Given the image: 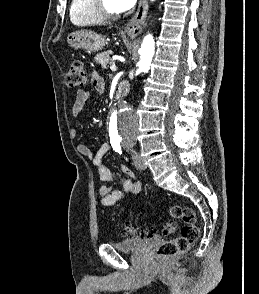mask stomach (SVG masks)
<instances>
[{
	"label": "stomach",
	"mask_w": 259,
	"mask_h": 294,
	"mask_svg": "<svg viewBox=\"0 0 259 294\" xmlns=\"http://www.w3.org/2000/svg\"><path fill=\"white\" fill-rule=\"evenodd\" d=\"M134 38V35H129ZM68 44L75 49L98 52L104 49L106 39L104 36L88 30L73 32L67 37Z\"/></svg>",
	"instance_id": "obj_1"
}]
</instances>
